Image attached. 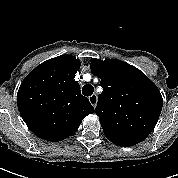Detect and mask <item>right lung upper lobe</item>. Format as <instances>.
Here are the masks:
<instances>
[{
  "instance_id": "1",
  "label": "right lung upper lobe",
  "mask_w": 178,
  "mask_h": 178,
  "mask_svg": "<svg viewBox=\"0 0 178 178\" xmlns=\"http://www.w3.org/2000/svg\"><path fill=\"white\" fill-rule=\"evenodd\" d=\"M80 64L73 56L61 55L37 66L21 83L18 109L38 137L51 142L64 140L87 115L94 113L74 79Z\"/></svg>"
}]
</instances>
